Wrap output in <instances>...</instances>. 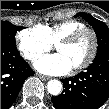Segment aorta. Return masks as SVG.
<instances>
[{"label": "aorta", "instance_id": "1", "mask_svg": "<svg viewBox=\"0 0 109 109\" xmlns=\"http://www.w3.org/2000/svg\"><path fill=\"white\" fill-rule=\"evenodd\" d=\"M47 90L52 95H59L62 90V83L59 80H50L47 83Z\"/></svg>", "mask_w": 109, "mask_h": 109}]
</instances>
